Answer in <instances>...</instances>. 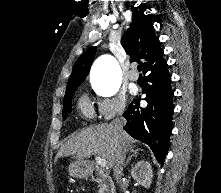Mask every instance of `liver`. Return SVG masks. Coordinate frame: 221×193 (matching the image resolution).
<instances>
[{
  "instance_id": "liver-1",
  "label": "liver",
  "mask_w": 221,
  "mask_h": 193,
  "mask_svg": "<svg viewBox=\"0 0 221 193\" xmlns=\"http://www.w3.org/2000/svg\"><path fill=\"white\" fill-rule=\"evenodd\" d=\"M133 139L125 131L117 132L112 124H99L81 130L72 136L58 151L55 160L73 156L77 160L90 158L92 155L102 157L107 166L113 168L114 157L119 145L130 150Z\"/></svg>"
}]
</instances>
